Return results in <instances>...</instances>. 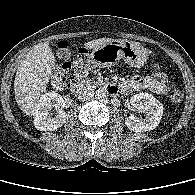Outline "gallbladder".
I'll list each match as a JSON object with an SVG mask.
<instances>
[{
    "label": "gallbladder",
    "instance_id": "bac80fb5",
    "mask_svg": "<svg viewBox=\"0 0 195 195\" xmlns=\"http://www.w3.org/2000/svg\"><path fill=\"white\" fill-rule=\"evenodd\" d=\"M56 56L60 59L68 60L71 57V52L67 48L57 49Z\"/></svg>",
    "mask_w": 195,
    "mask_h": 195
}]
</instances>
